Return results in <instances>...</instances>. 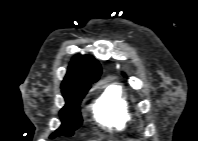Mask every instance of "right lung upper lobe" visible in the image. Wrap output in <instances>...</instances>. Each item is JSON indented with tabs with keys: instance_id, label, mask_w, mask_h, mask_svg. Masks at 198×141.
<instances>
[{
	"instance_id": "right-lung-upper-lobe-1",
	"label": "right lung upper lobe",
	"mask_w": 198,
	"mask_h": 141,
	"mask_svg": "<svg viewBox=\"0 0 198 141\" xmlns=\"http://www.w3.org/2000/svg\"><path fill=\"white\" fill-rule=\"evenodd\" d=\"M101 67L96 59L89 55L73 57L61 87L90 85L99 79Z\"/></svg>"
}]
</instances>
